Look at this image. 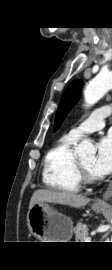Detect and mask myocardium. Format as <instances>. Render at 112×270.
<instances>
[{
	"label": "myocardium",
	"mask_w": 112,
	"mask_h": 270,
	"mask_svg": "<svg viewBox=\"0 0 112 270\" xmlns=\"http://www.w3.org/2000/svg\"><path fill=\"white\" fill-rule=\"evenodd\" d=\"M75 168L81 184H93L96 182L97 180L96 176L89 173L84 168L79 159H76Z\"/></svg>",
	"instance_id": "myocardium-1"
}]
</instances>
